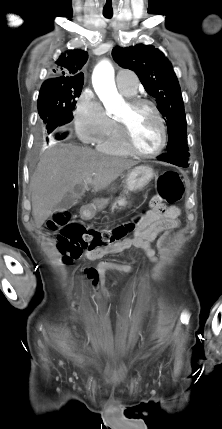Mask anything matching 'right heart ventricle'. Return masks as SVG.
<instances>
[{
  "label": "right heart ventricle",
  "mask_w": 222,
  "mask_h": 429,
  "mask_svg": "<svg viewBox=\"0 0 222 429\" xmlns=\"http://www.w3.org/2000/svg\"><path fill=\"white\" fill-rule=\"evenodd\" d=\"M111 121V126L108 132L97 142V148L107 154L126 156L129 154V151L122 142L117 121L114 119H111Z\"/></svg>",
  "instance_id": "e07e8e85"
}]
</instances>
